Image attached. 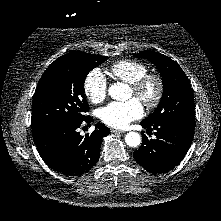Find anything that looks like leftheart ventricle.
I'll use <instances>...</instances> for the list:
<instances>
[{
  "instance_id": "obj_1",
  "label": "left heart ventricle",
  "mask_w": 221,
  "mask_h": 221,
  "mask_svg": "<svg viewBox=\"0 0 221 221\" xmlns=\"http://www.w3.org/2000/svg\"><path fill=\"white\" fill-rule=\"evenodd\" d=\"M154 90H155V88H154L153 84L148 85L145 90V94H144L145 97H147V98L152 97L154 94ZM130 93H131V95H134L132 90L130 91Z\"/></svg>"
}]
</instances>
